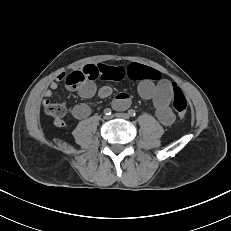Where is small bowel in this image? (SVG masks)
Wrapping results in <instances>:
<instances>
[{
	"label": "small bowel",
	"mask_w": 231,
	"mask_h": 231,
	"mask_svg": "<svg viewBox=\"0 0 231 231\" xmlns=\"http://www.w3.org/2000/svg\"><path fill=\"white\" fill-rule=\"evenodd\" d=\"M147 67L140 64H130L127 67L109 66L105 64H88L79 71L84 77L83 84L78 88V94L82 98H91L96 93L101 98L109 97L112 94L110 86H103L97 90L94 83L97 79L121 80L125 77L138 80L139 95L145 100H152L155 114L158 120L165 126L171 125L175 116L170 108L173 97V84L167 80H160L157 83L145 73ZM65 78L64 73H60L49 83V87L44 92V105L50 103L49 98L58 88V83ZM130 105V97L126 93H119L113 100V107L116 110L126 109ZM72 116L77 120L85 119L90 115L91 109L87 104L80 103L72 108ZM55 124L59 128L66 126L65 122L57 119Z\"/></svg>",
	"instance_id": "1"
}]
</instances>
